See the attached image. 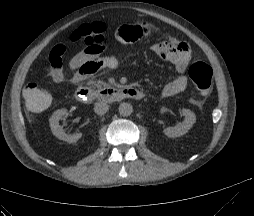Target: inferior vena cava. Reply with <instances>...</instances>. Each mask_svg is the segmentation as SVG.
<instances>
[{
  "instance_id": "1",
  "label": "inferior vena cava",
  "mask_w": 254,
  "mask_h": 216,
  "mask_svg": "<svg viewBox=\"0 0 254 216\" xmlns=\"http://www.w3.org/2000/svg\"><path fill=\"white\" fill-rule=\"evenodd\" d=\"M109 110V106L104 102H97L94 106V112L98 115H104Z\"/></svg>"
}]
</instances>
